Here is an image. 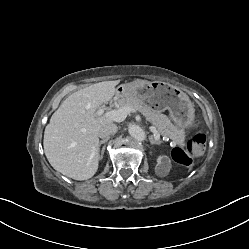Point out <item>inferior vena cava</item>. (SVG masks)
<instances>
[{
	"mask_svg": "<svg viewBox=\"0 0 249 249\" xmlns=\"http://www.w3.org/2000/svg\"><path fill=\"white\" fill-rule=\"evenodd\" d=\"M117 132V126L114 123H108L103 125L99 130L100 138H109L111 135Z\"/></svg>",
	"mask_w": 249,
	"mask_h": 249,
	"instance_id": "602c4592",
	"label": "inferior vena cava"
}]
</instances>
